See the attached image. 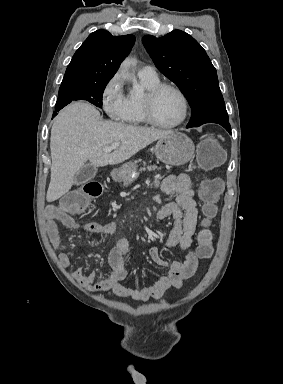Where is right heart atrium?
Returning a JSON list of instances; mask_svg holds the SVG:
<instances>
[{"instance_id":"1","label":"right heart atrium","mask_w":283,"mask_h":384,"mask_svg":"<svg viewBox=\"0 0 283 384\" xmlns=\"http://www.w3.org/2000/svg\"><path fill=\"white\" fill-rule=\"evenodd\" d=\"M101 106L110 122L121 125L125 123L127 96L121 75L117 72L111 76L101 89Z\"/></svg>"}]
</instances>
